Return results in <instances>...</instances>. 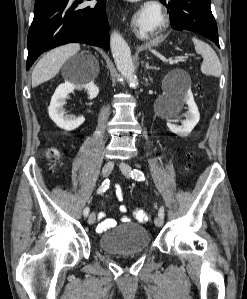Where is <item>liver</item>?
I'll return each mask as SVG.
<instances>
[{
	"label": "liver",
	"mask_w": 247,
	"mask_h": 299,
	"mask_svg": "<svg viewBox=\"0 0 247 299\" xmlns=\"http://www.w3.org/2000/svg\"><path fill=\"white\" fill-rule=\"evenodd\" d=\"M79 50V44L70 43L49 51L39 60L32 72V87L54 78L63 64Z\"/></svg>",
	"instance_id": "liver-1"
}]
</instances>
